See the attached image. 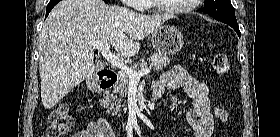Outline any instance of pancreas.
<instances>
[{"instance_id": "obj_1", "label": "pancreas", "mask_w": 280, "mask_h": 137, "mask_svg": "<svg viewBox=\"0 0 280 137\" xmlns=\"http://www.w3.org/2000/svg\"><path fill=\"white\" fill-rule=\"evenodd\" d=\"M170 60L168 56L160 55L157 53H152L151 56L145 61V59H141L139 63H135L132 66V69L135 71H139V69L150 68L156 71L166 67L169 64ZM129 78L125 73H120L117 83L114 85V91L106 92L102 106L106 108L108 111L113 110V116L118 113L120 115V102L127 95V89L129 87ZM127 111V108L124 107V112Z\"/></svg>"}]
</instances>
